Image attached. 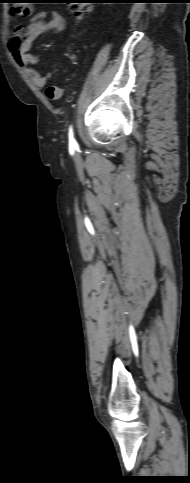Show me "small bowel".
Masks as SVG:
<instances>
[{
  "mask_svg": "<svg viewBox=\"0 0 190 483\" xmlns=\"http://www.w3.org/2000/svg\"><path fill=\"white\" fill-rule=\"evenodd\" d=\"M65 28L66 22L58 12L43 11L31 19L25 31L19 27L14 29L12 37L8 41V50L14 61L25 71L34 85L45 87L51 78V74L42 73L32 67L41 61L38 56L31 53L33 42L47 31L61 33ZM62 92L63 89L60 85H50L46 88L47 97L53 100L60 98Z\"/></svg>",
  "mask_w": 190,
  "mask_h": 483,
  "instance_id": "obj_1",
  "label": "small bowel"
}]
</instances>
